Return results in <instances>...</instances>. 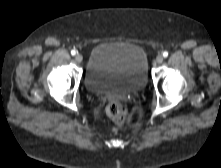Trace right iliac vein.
Wrapping results in <instances>:
<instances>
[{"instance_id":"63e3f726","label":"right iliac vein","mask_w":221,"mask_h":168,"mask_svg":"<svg viewBox=\"0 0 221 168\" xmlns=\"http://www.w3.org/2000/svg\"><path fill=\"white\" fill-rule=\"evenodd\" d=\"M82 59H83V57H82L81 54L77 53V54L75 55V60H76V62L80 63V62L82 61Z\"/></svg>"}]
</instances>
